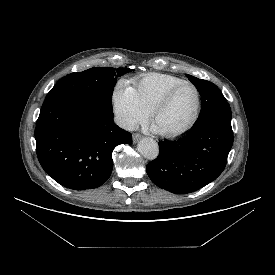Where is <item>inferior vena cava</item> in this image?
Wrapping results in <instances>:
<instances>
[{"instance_id":"1","label":"inferior vena cava","mask_w":275,"mask_h":275,"mask_svg":"<svg viewBox=\"0 0 275 275\" xmlns=\"http://www.w3.org/2000/svg\"><path fill=\"white\" fill-rule=\"evenodd\" d=\"M114 121L118 126L125 130L133 131L135 129L134 122L126 116L116 115Z\"/></svg>"}]
</instances>
